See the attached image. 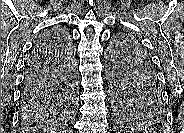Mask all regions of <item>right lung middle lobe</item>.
Returning <instances> with one entry per match:
<instances>
[{"label":"right lung middle lobe","mask_w":184,"mask_h":133,"mask_svg":"<svg viewBox=\"0 0 184 133\" xmlns=\"http://www.w3.org/2000/svg\"><path fill=\"white\" fill-rule=\"evenodd\" d=\"M50 33L53 37L58 38L66 47L62 53L64 61L63 76L60 83L57 84L56 92L51 99L38 102H21L22 115L31 118L45 114L50 111H59L72 109L75 102V81L76 70L73 62V52L69 44L68 35L59 29H52L44 34ZM43 34V35H44Z\"/></svg>","instance_id":"obj_1"}]
</instances>
